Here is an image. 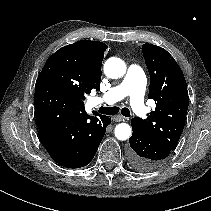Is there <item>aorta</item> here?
<instances>
[{
	"label": "aorta",
	"mask_w": 211,
	"mask_h": 211,
	"mask_svg": "<svg viewBox=\"0 0 211 211\" xmlns=\"http://www.w3.org/2000/svg\"><path fill=\"white\" fill-rule=\"evenodd\" d=\"M104 73L112 79L120 78L126 73V64L120 58L111 57L104 64ZM114 133L118 140H127L132 134V129L128 124L120 123L115 127Z\"/></svg>",
	"instance_id": "1"
}]
</instances>
